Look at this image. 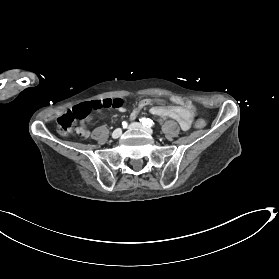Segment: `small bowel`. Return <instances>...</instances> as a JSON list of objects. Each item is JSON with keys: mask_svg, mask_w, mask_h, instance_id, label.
Returning <instances> with one entry per match:
<instances>
[{"mask_svg": "<svg viewBox=\"0 0 279 279\" xmlns=\"http://www.w3.org/2000/svg\"><path fill=\"white\" fill-rule=\"evenodd\" d=\"M175 105L173 106H162V105H155L151 107L150 112L153 115L159 116V117H170L175 119L182 130L186 131L191 127L192 124V114L180 103L178 97H174L172 99ZM161 100L159 99H150L146 98L138 102L136 107L132 110L130 114V119L135 120L139 111L143 109L146 106L160 103ZM120 112H125V108L123 106H120L117 108ZM90 119L86 118L82 121L81 126L78 129V133L81 136L87 137L89 136V131L87 130V123Z\"/></svg>", "mask_w": 279, "mask_h": 279, "instance_id": "obj_1", "label": "small bowel"}]
</instances>
